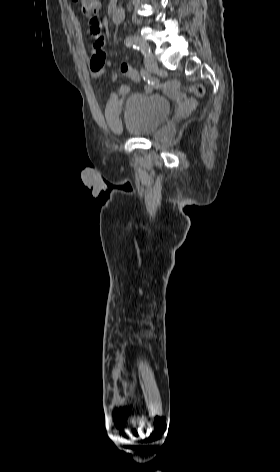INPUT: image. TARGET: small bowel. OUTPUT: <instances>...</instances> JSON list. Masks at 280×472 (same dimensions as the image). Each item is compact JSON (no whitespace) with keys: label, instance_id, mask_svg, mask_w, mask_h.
<instances>
[{"label":"small bowel","instance_id":"small-bowel-1","mask_svg":"<svg viewBox=\"0 0 280 472\" xmlns=\"http://www.w3.org/2000/svg\"><path fill=\"white\" fill-rule=\"evenodd\" d=\"M89 35L92 38L91 50L92 54L89 60V71L92 77H98L106 72V54L104 51V36L101 24L96 21H90ZM115 78V74H113ZM128 87L123 85L117 92L110 95L106 104L105 116L111 127L118 124V117L122 107L121 98L127 95Z\"/></svg>","mask_w":280,"mask_h":472}]
</instances>
